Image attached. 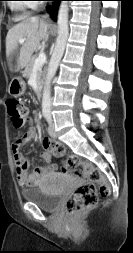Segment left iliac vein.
<instances>
[{"label":"left iliac vein","instance_id":"left-iliac-vein-1","mask_svg":"<svg viewBox=\"0 0 133 253\" xmlns=\"http://www.w3.org/2000/svg\"><path fill=\"white\" fill-rule=\"evenodd\" d=\"M48 133L51 137H56V131L54 127V123L51 121L48 127Z\"/></svg>","mask_w":133,"mask_h":253}]
</instances>
